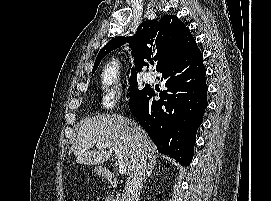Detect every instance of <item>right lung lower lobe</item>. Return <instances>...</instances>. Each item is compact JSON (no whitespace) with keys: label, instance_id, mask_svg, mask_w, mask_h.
Wrapping results in <instances>:
<instances>
[{"label":"right lung lower lobe","instance_id":"obj_1","mask_svg":"<svg viewBox=\"0 0 271 201\" xmlns=\"http://www.w3.org/2000/svg\"><path fill=\"white\" fill-rule=\"evenodd\" d=\"M193 36L158 72L167 90L155 100L148 88L129 100L132 115L148 132L160 153L188 166L193 158L196 132L207 107L206 69Z\"/></svg>","mask_w":271,"mask_h":201}]
</instances>
